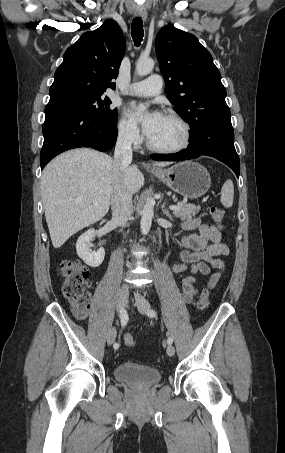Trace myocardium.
I'll list each match as a JSON object with an SVG mask.
<instances>
[{
	"mask_svg": "<svg viewBox=\"0 0 285 453\" xmlns=\"http://www.w3.org/2000/svg\"><path fill=\"white\" fill-rule=\"evenodd\" d=\"M164 116L177 121L181 125L183 132H184V139H183L182 143L175 147H160V146L153 144L152 141L148 137L147 138V147L154 152L162 153V154H177V153L183 152L190 146V144L192 142V130H191L190 124L181 115H179L178 113H176L174 111H166L164 113Z\"/></svg>",
	"mask_w": 285,
	"mask_h": 453,
	"instance_id": "obj_1",
	"label": "myocardium"
}]
</instances>
